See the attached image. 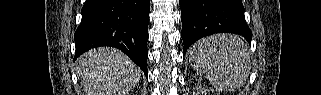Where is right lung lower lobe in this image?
Instances as JSON below:
<instances>
[{
    "instance_id": "obj_1",
    "label": "right lung lower lobe",
    "mask_w": 321,
    "mask_h": 95,
    "mask_svg": "<svg viewBox=\"0 0 321 95\" xmlns=\"http://www.w3.org/2000/svg\"><path fill=\"white\" fill-rule=\"evenodd\" d=\"M150 0H86L75 32V58L91 48L116 47L147 76Z\"/></svg>"
}]
</instances>
